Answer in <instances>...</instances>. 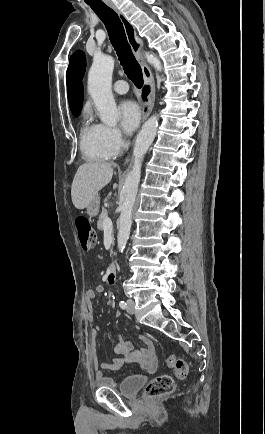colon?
Segmentation results:
<instances>
[{
	"instance_id": "5ec220e1",
	"label": "colon",
	"mask_w": 265,
	"mask_h": 434,
	"mask_svg": "<svg viewBox=\"0 0 265 434\" xmlns=\"http://www.w3.org/2000/svg\"><path fill=\"white\" fill-rule=\"evenodd\" d=\"M75 228L81 248L84 251L91 250L97 243V233L92 226L89 218H77L75 220ZM167 364L175 372V376L179 379H185L188 374L187 363L175 355L169 356ZM175 389L174 377L167 374L156 375L151 382H148L145 393L147 396L161 395L171 393Z\"/></svg>"
}]
</instances>
